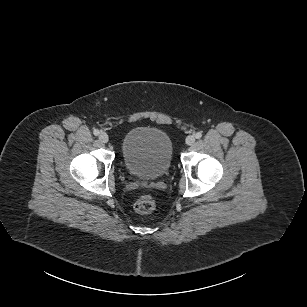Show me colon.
<instances>
[{"label": "colon", "mask_w": 307, "mask_h": 307, "mask_svg": "<svg viewBox=\"0 0 307 307\" xmlns=\"http://www.w3.org/2000/svg\"><path fill=\"white\" fill-rule=\"evenodd\" d=\"M156 208V201L150 194L141 195L134 203V210L139 214H147Z\"/></svg>", "instance_id": "obj_1"}]
</instances>
